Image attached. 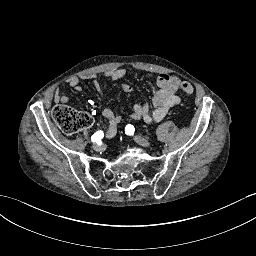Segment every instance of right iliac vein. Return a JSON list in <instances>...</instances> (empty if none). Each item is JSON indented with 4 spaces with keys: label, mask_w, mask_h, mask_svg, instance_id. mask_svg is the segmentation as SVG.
<instances>
[{
    "label": "right iliac vein",
    "mask_w": 256,
    "mask_h": 256,
    "mask_svg": "<svg viewBox=\"0 0 256 256\" xmlns=\"http://www.w3.org/2000/svg\"><path fill=\"white\" fill-rule=\"evenodd\" d=\"M92 148L97 151V152H100V151H103L104 149V145L102 143H97V144H94L92 146Z\"/></svg>",
    "instance_id": "obj_1"
}]
</instances>
